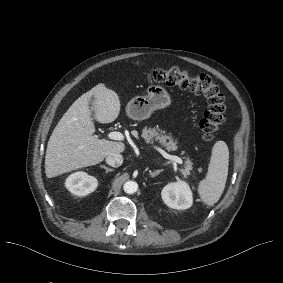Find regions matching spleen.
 Instances as JSON below:
<instances>
[{
	"mask_svg": "<svg viewBox=\"0 0 283 283\" xmlns=\"http://www.w3.org/2000/svg\"><path fill=\"white\" fill-rule=\"evenodd\" d=\"M228 174V148L220 141L213 149L212 159L207 174V181H202L199 187L202 198L207 203H215L222 195Z\"/></svg>",
	"mask_w": 283,
	"mask_h": 283,
	"instance_id": "spleen-1",
	"label": "spleen"
}]
</instances>
